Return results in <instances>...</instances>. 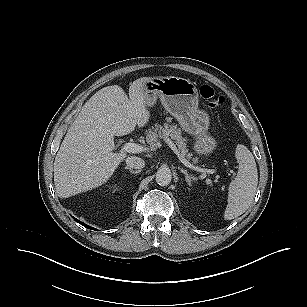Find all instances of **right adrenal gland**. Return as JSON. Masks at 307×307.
I'll use <instances>...</instances> for the list:
<instances>
[{
    "mask_svg": "<svg viewBox=\"0 0 307 307\" xmlns=\"http://www.w3.org/2000/svg\"><path fill=\"white\" fill-rule=\"evenodd\" d=\"M126 170H129V172L133 173V174H138L140 172V170L134 171L133 169H131L130 167L126 166L125 167Z\"/></svg>",
    "mask_w": 307,
    "mask_h": 307,
    "instance_id": "2a0ac1e0",
    "label": "right adrenal gland"
}]
</instances>
